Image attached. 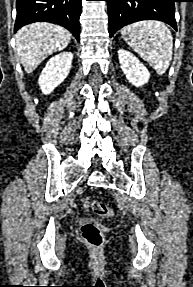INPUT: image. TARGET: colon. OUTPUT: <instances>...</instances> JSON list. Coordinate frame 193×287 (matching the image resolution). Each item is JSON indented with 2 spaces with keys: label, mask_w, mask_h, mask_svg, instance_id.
Here are the masks:
<instances>
[{
  "label": "colon",
  "mask_w": 193,
  "mask_h": 287,
  "mask_svg": "<svg viewBox=\"0 0 193 287\" xmlns=\"http://www.w3.org/2000/svg\"><path fill=\"white\" fill-rule=\"evenodd\" d=\"M83 205L87 209H91L99 216H112L113 211L105 204L98 201H91L89 198L83 199ZM81 234L84 242L94 249H98L103 245L104 235L101 229L93 222L85 223L81 228Z\"/></svg>",
  "instance_id": "obj_1"
}]
</instances>
